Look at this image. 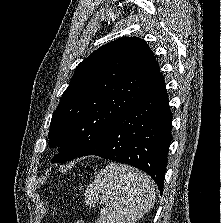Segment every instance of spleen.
Returning <instances> with one entry per match:
<instances>
[{"mask_svg": "<svg viewBox=\"0 0 221 223\" xmlns=\"http://www.w3.org/2000/svg\"><path fill=\"white\" fill-rule=\"evenodd\" d=\"M98 200L105 204L98 223H135L154 205V184L145 173L111 162L86 188L85 204L95 207Z\"/></svg>", "mask_w": 221, "mask_h": 223, "instance_id": "obj_1", "label": "spleen"}]
</instances>
